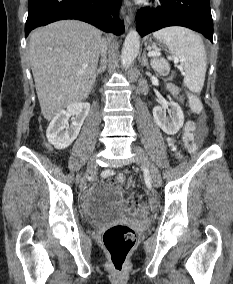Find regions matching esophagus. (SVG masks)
<instances>
[{"label":"esophagus","mask_w":233,"mask_h":284,"mask_svg":"<svg viewBox=\"0 0 233 284\" xmlns=\"http://www.w3.org/2000/svg\"><path fill=\"white\" fill-rule=\"evenodd\" d=\"M126 6L128 9L127 22L131 24L135 17V9L132 7V4L129 1H126Z\"/></svg>","instance_id":"esophagus-1"}]
</instances>
